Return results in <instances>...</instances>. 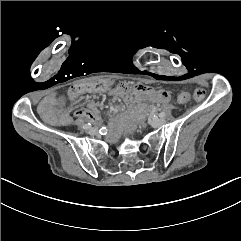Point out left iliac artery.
I'll return each mask as SVG.
<instances>
[{
	"label": "left iliac artery",
	"mask_w": 241,
	"mask_h": 241,
	"mask_svg": "<svg viewBox=\"0 0 241 241\" xmlns=\"http://www.w3.org/2000/svg\"><path fill=\"white\" fill-rule=\"evenodd\" d=\"M165 115H166V114H165L164 112H161V113L159 114V117L164 118Z\"/></svg>",
	"instance_id": "obj_1"
}]
</instances>
